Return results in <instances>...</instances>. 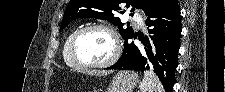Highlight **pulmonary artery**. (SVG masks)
I'll return each instance as SVG.
<instances>
[{"instance_id":"pulmonary-artery-1","label":"pulmonary artery","mask_w":225,"mask_h":92,"mask_svg":"<svg viewBox=\"0 0 225 92\" xmlns=\"http://www.w3.org/2000/svg\"><path fill=\"white\" fill-rule=\"evenodd\" d=\"M133 20L140 27H142L144 25L145 19L140 13H135L133 16Z\"/></svg>"}]
</instances>
